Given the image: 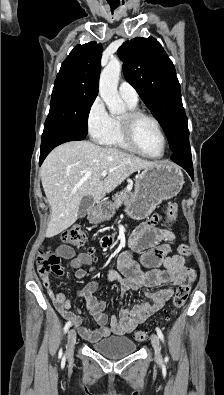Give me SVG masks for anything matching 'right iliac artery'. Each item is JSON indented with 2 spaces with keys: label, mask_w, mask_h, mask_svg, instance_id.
<instances>
[{
  "label": "right iliac artery",
  "mask_w": 224,
  "mask_h": 395,
  "mask_svg": "<svg viewBox=\"0 0 224 395\" xmlns=\"http://www.w3.org/2000/svg\"><path fill=\"white\" fill-rule=\"evenodd\" d=\"M71 321H68L65 326H64V333H67V331L69 330V328L71 327ZM62 354V350H60V355ZM65 358V356L63 357V359Z\"/></svg>",
  "instance_id": "right-iliac-artery-1"
}]
</instances>
